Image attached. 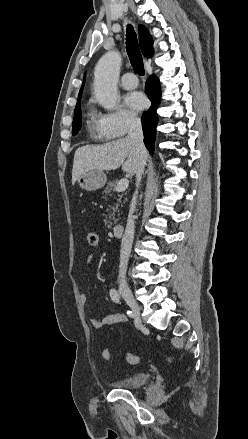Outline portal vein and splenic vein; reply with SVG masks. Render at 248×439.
<instances>
[{
	"instance_id": "portal-vein-and-splenic-vein-1",
	"label": "portal vein and splenic vein",
	"mask_w": 248,
	"mask_h": 439,
	"mask_svg": "<svg viewBox=\"0 0 248 439\" xmlns=\"http://www.w3.org/2000/svg\"><path fill=\"white\" fill-rule=\"evenodd\" d=\"M128 185H129V180L127 178H122L118 182L115 190L118 191V192H123V191H125L128 188Z\"/></svg>"
}]
</instances>
